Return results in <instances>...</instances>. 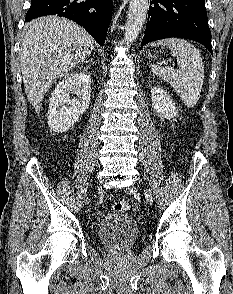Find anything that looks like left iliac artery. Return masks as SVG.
Here are the masks:
<instances>
[{
  "mask_svg": "<svg viewBox=\"0 0 233 294\" xmlns=\"http://www.w3.org/2000/svg\"><path fill=\"white\" fill-rule=\"evenodd\" d=\"M145 196H146V198H147V200H148L149 202L152 201V195H151V193H150L149 191H146V192H145Z\"/></svg>",
  "mask_w": 233,
  "mask_h": 294,
  "instance_id": "44dca946",
  "label": "left iliac artery"
}]
</instances>
